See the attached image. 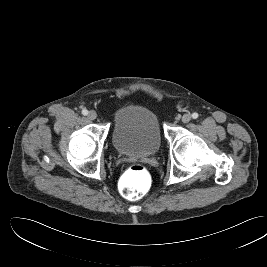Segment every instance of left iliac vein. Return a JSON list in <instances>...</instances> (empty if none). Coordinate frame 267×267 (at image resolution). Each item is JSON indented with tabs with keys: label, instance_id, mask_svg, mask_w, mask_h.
<instances>
[{
	"label": "left iliac vein",
	"instance_id": "left-iliac-vein-1",
	"mask_svg": "<svg viewBox=\"0 0 267 267\" xmlns=\"http://www.w3.org/2000/svg\"><path fill=\"white\" fill-rule=\"evenodd\" d=\"M191 120V115L190 114H184L182 116V122L188 123Z\"/></svg>",
	"mask_w": 267,
	"mask_h": 267
}]
</instances>
